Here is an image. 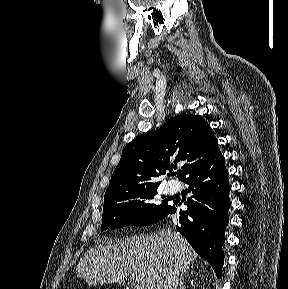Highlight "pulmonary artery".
Wrapping results in <instances>:
<instances>
[{"label":"pulmonary artery","instance_id":"obj_1","mask_svg":"<svg viewBox=\"0 0 288 289\" xmlns=\"http://www.w3.org/2000/svg\"><path fill=\"white\" fill-rule=\"evenodd\" d=\"M166 190L170 193V194H175L180 190V186L177 182L175 181H170L166 184Z\"/></svg>","mask_w":288,"mask_h":289}]
</instances>
